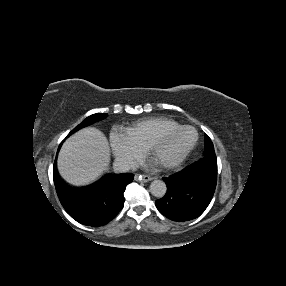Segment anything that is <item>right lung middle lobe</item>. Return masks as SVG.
Instances as JSON below:
<instances>
[{
    "instance_id": "right-lung-middle-lobe-1",
    "label": "right lung middle lobe",
    "mask_w": 286,
    "mask_h": 286,
    "mask_svg": "<svg viewBox=\"0 0 286 286\" xmlns=\"http://www.w3.org/2000/svg\"><path fill=\"white\" fill-rule=\"evenodd\" d=\"M105 117H107V114H93V115L87 117L81 124H79L77 127H75V128L68 134V136H69L70 134L74 133L75 131H77V130H79V129H81V128L87 126V125H90V124L94 123V122L97 121V120L103 119V118H105Z\"/></svg>"
}]
</instances>
